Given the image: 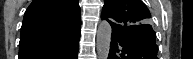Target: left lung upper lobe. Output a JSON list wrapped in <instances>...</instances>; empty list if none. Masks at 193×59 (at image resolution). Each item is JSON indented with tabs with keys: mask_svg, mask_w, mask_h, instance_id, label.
Segmentation results:
<instances>
[{
	"mask_svg": "<svg viewBox=\"0 0 193 59\" xmlns=\"http://www.w3.org/2000/svg\"><path fill=\"white\" fill-rule=\"evenodd\" d=\"M102 17L132 30L151 22V14L141 0H105Z\"/></svg>",
	"mask_w": 193,
	"mask_h": 59,
	"instance_id": "left-lung-upper-lobe-1",
	"label": "left lung upper lobe"
}]
</instances>
